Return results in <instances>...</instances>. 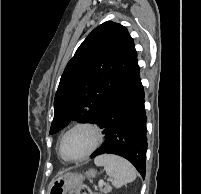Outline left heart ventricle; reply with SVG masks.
Instances as JSON below:
<instances>
[{
    "label": "left heart ventricle",
    "mask_w": 201,
    "mask_h": 194,
    "mask_svg": "<svg viewBox=\"0 0 201 194\" xmlns=\"http://www.w3.org/2000/svg\"><path fill=\"white\" fill-rule=\"evenodd\" d=\"M92 143V133L87 129H78L64 138L62 153L68 158H76L83 155L91 147Z\"/></svg>",
    "instance_id": "obj_1"
}]
</instances>
